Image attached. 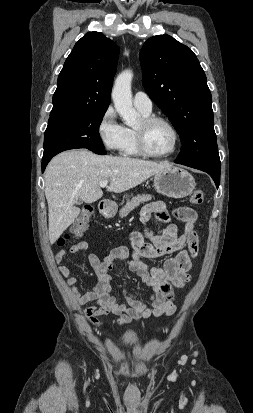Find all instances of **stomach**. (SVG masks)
I'll return each instance as SVG.
<instances>
[{
  "mask_svg": "<svg viewBox=\"0 0 253 413\" xmlns=\"http://www.w3.org/2000/svg\"><path fill=\"white\" fill-rule=\"evenodd\" d=\"M195 186L193 176L179 167L171 166L154 175V187L157 192L171 198H185L193 192ZM108 211L114 214L115 208L111 207Z\"/></svg>",
  "mask_w": 253,
  "mask_h": 413,
  "instance_id": "obj_1",
  "label": "stomach"
}]
</instances>
